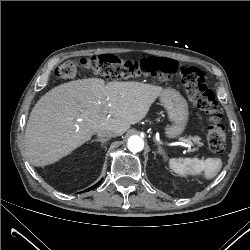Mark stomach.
<instances>
[{
	"mask_svg": "<svg viewBox=\"0 0 250 250\" xmlns=\"http://www.w3.org/2000/svg\"><path fill=\"white\" fill-rule=\"evenodd\" d=\"M160 101L167 110L171 125L165 128L168 138H176L181 135L188 123L189 109L185 98L174 90H164L160 94Z\"/></svg>",
	"mask_w": 250,
	"mask_h": 250,
	"instance_id": "obj_1",
	"label": "stomach"
}]
</instances>
